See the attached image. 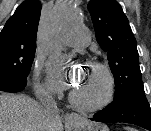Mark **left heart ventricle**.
<instances>
[{"instance_id": "obj_1", "label": "left heart ventricle", "mask_w": 151, "mask_h": 131, "mask_svg": "<svg viewBox=\"0 0 151 131\" xmlns=\"http://www.w3.org/2000/svg\"><path fill=\"white\" fill-rule=\"evenodd\" d=\"M73 93L86 101L97 99L104 91L105 80L101 72L85 68L80 75L79 80L73 85Z\"/></svg>"}]
</instances>
